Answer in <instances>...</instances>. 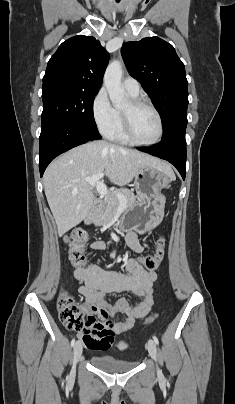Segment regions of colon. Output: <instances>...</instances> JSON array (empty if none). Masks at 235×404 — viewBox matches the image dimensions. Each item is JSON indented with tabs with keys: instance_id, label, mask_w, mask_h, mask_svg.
<instances>
[{
	"instance_id": "colon-1",
	"label": "colon",
	"mask_w": 235,
	"mask_h": 404,
	"mask_svg": "<svg viewBox=\"0 0 235 404\" xmlns=\"http://www.w3.org/2000/svg\"><path fill=\"white\" fill-rule=\"evenodd\" d=\"M88 241V234L83 229H78L70 232L65 242L69 245V258L71 263L76 267H85L86 256L84 246ZM165 240L163 237L157 241V248L154 254L139 257L136 260L148 271L156 270L164 257ZM57 309L60 321L69 329L78 330L86 328L87 332H99L102 336L104 344L112 342L114 335L108 330L110 322H104L103 318L96 315H84V309L75 303L73 298L65 291H61L57 300ZM158 313H152L144 320V324L152 323L158 318Z\"/></svg>"
}]
</instances>
